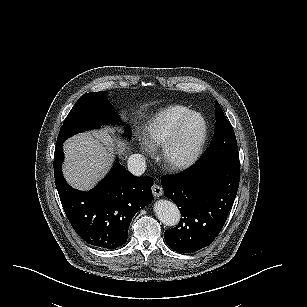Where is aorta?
Segmentation results:
<instances>
[{
  "mask_svg": "<svg viewBox=\"0 0 307 307\" xmlns=\"http://www.w3.org/2000/svg\"><path fill=\"white\" fill-rule=\"evenodd\" d=\"M155 216L166 226L176 225L180 220V211L176 204L167 199H158L153 203Z\"/></svg>",
  "mask_w": 307,
  "mask_h": 307,
  "instance_id": "aorta-1",
  "label": "aorta"
}]
</instances>
